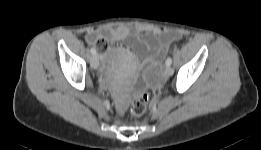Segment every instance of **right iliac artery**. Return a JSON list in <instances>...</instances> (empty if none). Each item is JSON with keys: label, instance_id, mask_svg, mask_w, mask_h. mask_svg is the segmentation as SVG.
<instances>
[{"label": "right iliac artery", "instance_id": "obj_1", "mask_svg": "<svg viewBox=\"0 0 261 150\" xmlns=\"http://www.w3.org/2000/svg\"><path fill=\"white\" fill-rule=\"evenodd\" d=\"M91 53H92L93 55H96V50H95V48H91Z\"/></svg>", "mask_w": 261, "mask_h": 150}]
</instances>
